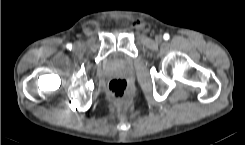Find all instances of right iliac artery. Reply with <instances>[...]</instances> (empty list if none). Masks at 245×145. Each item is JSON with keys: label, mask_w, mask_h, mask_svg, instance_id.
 I'll list each match as a JSON object with an SVG mask.
<instances>
[{"label": "right iliac artery", "mask_w": 245, "mask_h": 145, "mask_svg": "<svg viewBox=\"0 0 245 145\" xmlns=\"http://www.w3.org/2000/svg\"><path fill=\"white\" fill-rule=\"evenodd\" d=\"M69 48H71L72 46L70 44L67 45Z\"/></svg>", "instance_id": "obj_1"}]
</instances>
